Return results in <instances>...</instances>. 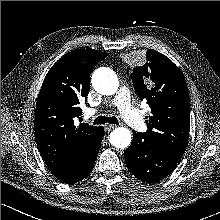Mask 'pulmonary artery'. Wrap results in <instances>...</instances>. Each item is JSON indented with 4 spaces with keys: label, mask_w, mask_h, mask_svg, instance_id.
I'll return each mask as SVG.
<instances>
[{
    "label": "pulmonary artery",
    "mask_w": 220,
    "mask_h": 220,
    "mask_svg": "<svg viewBox=\"0 0 220 220\" xmlns=\"http://www.w3.org/2000/svg\"><path fill=\"white\" fill-rule=\"evenodd\" d=\"M111 103L118 106L123 118L133 129L137 131L145 129V120L141 112L131 104L130 94L126 87L121 86L119 88ZM93 112H96V110H93Z\"/></svg>",
    "instance_id": "obj_1"
}]
</instances>
